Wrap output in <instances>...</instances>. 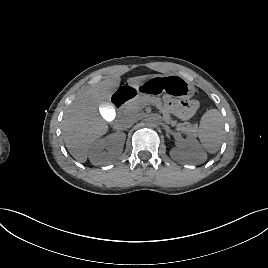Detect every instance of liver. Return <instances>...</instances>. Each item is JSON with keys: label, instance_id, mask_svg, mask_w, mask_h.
<instances>
[{"label": "liver", "instance_id": "6515ba94", "mask_svg": "<svg viewBox=\"0 0 268 268\" xmlns=\"http://www.w3.org/2000/svg\"><path fill=\"white\" fill-rule=\"evenodd\" d=\"M147 77L149 75L137 76L127 82L132 86ZM120 82V76L115 75L93 84L79 92L69 106L62 123L63 139L70 154L79 162H86L92 143L108 131L106 119L100 115L98 108L108 107L107 101Z\"/></svg>", "mask_w": 268, "mask_h": 268}]
</instances>
